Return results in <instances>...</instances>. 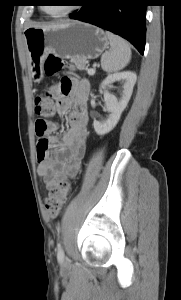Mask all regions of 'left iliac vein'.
I'll return each instance as SVG.
<instances>
[{
  "instance_id": "obj_1",
  "label": "left iliac vein",
  "mask_w": 181,
  "mask_h": 300,
  "mask_svg": "<svg viewBox=\"0 0 181 300\" xmlns=\"http://www.w3.org/2000/svg\"><path fill=\"white\" fill-rule=\"evenodd\" d=\"M69 266V262L67 261V260H65L64 262H63V267H68Z\"/></svg>"
}]
</instances>
